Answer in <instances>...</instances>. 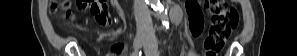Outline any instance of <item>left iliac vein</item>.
Masks as SVG:
<instances>
[{"label": "left iliac vein", "instance_id": "left-iliac-vein-1", "mask_svg": "<svg viewBox=\"0 0 297 56\" xmlns=\"http://www.w3.org/2000/svg\"><path fill=\"white\" fill-rule=\"evenodd\" d=\"M144 48L147 56H159L156 45L154 43L148 42L147 44H145Z\"/></svg>", "mask_w": 297, "mask_h": 56}]
</instances>
